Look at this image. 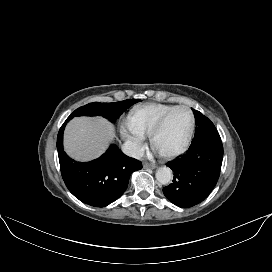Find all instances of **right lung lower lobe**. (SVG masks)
Instances as JSON below:
<instances>
[{"label": "right lung lower lobe", "mask_w": 272, "mask_h": 272, "mask_svg": "<svg viewBox=\"0 0 272 272\" xmlns=\"http://www.w3.org/2000/svg\"><path fill=\"white\" fill-rule=\"evenodd\" d=\"M69 120L66 119L57 136L62 178L68 190L80 201L105 207L125 192L130 175L142 169V163L124 155L115 145L93 161H74L63 150V132Z\"/></svg>", "instance_id": "98d812e1"}]
</instances>
